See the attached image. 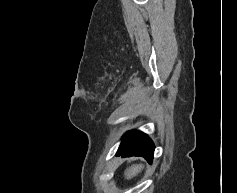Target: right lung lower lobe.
I'll return each instance as SVG.
<instances>
[{"label":"right lung lower lobe","instance_id":"obj_1","mask_svg":"<svg viewBox=\"0 0 237 193\" xmlns=\"http://www.w3.org/2000/svg\"><path fill=\"white\" fill-rule=\"evenodd\" d=\"M154 148V144L146 134L140 131H131L123 137L117 155H122L123 157L142 156L151 163Z\"/></svg>","mask_w":237,"mask_h":193}]
</instances>
